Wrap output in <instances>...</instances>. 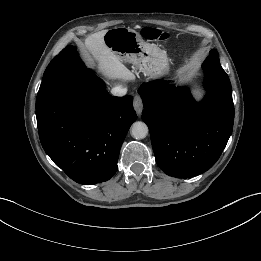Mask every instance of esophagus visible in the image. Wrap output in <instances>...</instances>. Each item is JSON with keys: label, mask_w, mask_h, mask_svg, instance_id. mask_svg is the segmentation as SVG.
<instances>
[{"label": "esophagus", "mask_w": 261, "mask_h": 261, "mask_svg": "<svg viewBox=\"0 0 261 261\" xmlns=\"http://www.w3.org/2000/svg\"><path fill=\"white\" fill-rule=\"evenodd\" d=\"M133 107L134 110L138 115H141L143 111V101L142 98L139 95H135L134 101H133Z\"/></svg>", "instance_id": "1"}]
</instances>
